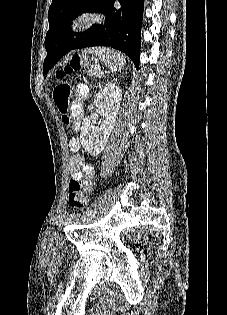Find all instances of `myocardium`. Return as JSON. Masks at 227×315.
I'll list each match as a JSON object with an SVG mask.
<instances>
[{
    "label": "myocardium",
    "instance_id": "myocardium-1",
    "mask_svg": "<svg viewBox=\"0 0 227 315\" xmlns=\"http://www.w3.org/2000/svg\"><path fill=\"white\" fill-rule=\"evenodd\" d=\"M98 22L95 14L90 12H80L74 15L69 22V28L72 33L78 34L92 29Z\"/></svg>",
    "mask_w": 227,
    "mask_h": 315
}]
</instances>
